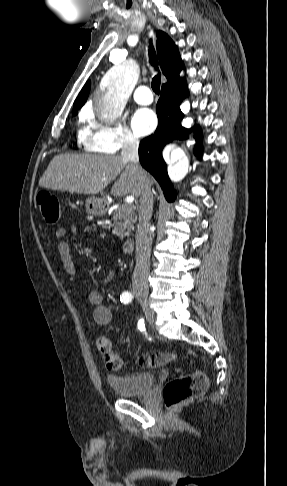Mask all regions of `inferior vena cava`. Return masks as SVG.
<instances>
[{
  "mask_svg": "<svg viewBox=\"0 0 287 486\" xmlns=\"http://www.w3.org/2000/svg\"><path fill=\"white\" fill-rule=\"evenodd\" d=\"M139 142L132 135H126L121 156L125 161L135 165L137 176L145 181V171L139 165ZM153 194L151 187L143 183L140 196L139 223L136 231V266L133 273L132 284L134 290L148 289V275L150 270V254L152 233L149 220L152 216Z\"/></svg>",
  "mask_w": 287,
  "mask_h": 486,
  "instance_id": "1",
  "label": "inferior vena cava"
}]
</instances>
